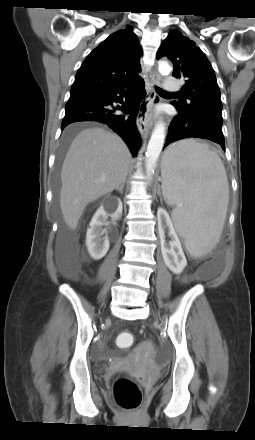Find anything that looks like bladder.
<instances>
[{"instance_id": "bladder-1", "label": "bladder", "mask_w": 255, "mask_h": 440, "mask_svg": "<svg viewBox=\"0 0 255 440\" xmlns=\"http://www.w3.org/2000/svg\"><path fill=\"white\" fill-rule=\"evenodd\" d=\"M141 346L142 347H147V344L145 342H142ZM97 370H98L99 373H103L104 370H105L104 365L102 363H99Z\"/></svg>"}]
</instances>
